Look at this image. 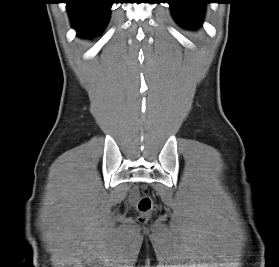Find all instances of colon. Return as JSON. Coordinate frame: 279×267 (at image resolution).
Returning <instances> with one entry per match:
<instances>
[{"label": "colon", "mask_w": 279, "mask_h": 267, "mask_svg": "<svg viewBox=\"0 0 279 267\" xmlns=\"http://www.w3.org/2000/svg\"><path fill=\"white\" fill-rule=\"evenodd\" d=\"M138 211L140 213V221L144 222L154 211V203L148 194H144L138 201Z\"/></svg>", "instance_id": "obj_1"}]
</instances>
